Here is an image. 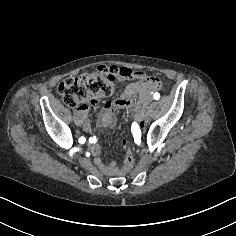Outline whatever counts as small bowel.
<instances>
[{
  "mask_svg": "<svg viewBox=\"0 0 236 236\" xmlns=\"http://www.w3.org/2000/svg\"><path fill=\"white\" fill-rule=\"evenodd\" d=\"M136 81L128 84L119 98L115 101H107L104 103L98 119V126L100 128H107L113 126L115 123L114 110L117 108H133L135 116L141 120L143 111L149 103L153 91L161 87V82L155 77H148L141 71H135ZM126 77L120 76V80ZM137 97V98H135ZM92 104H96L97 100H92ZM89 107L83 103L75 110V122L85 131H91V124L88 120ZM90 152L94 156L100 153V145L96 137H91ZM96 165L99 169L109 176H117L123 173L124 167H119L114 163H105L100 157L95 159Z\"/></svg>",
  "mask_w": 236,
  "mask_h": 236,
  "instance_id": "1",
  "label": "small bowel"
}]
</instances>
